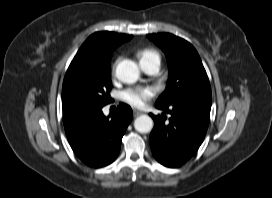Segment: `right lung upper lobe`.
I'll return each mask as SVG.
<instances>
[{"label":"right lung upper lobe","instance_id":"cb5924a9","mask_svg":"<svg viewBox=\"0 0 272 198\" xmlns=\"http://www.w3.org/2000/svg\"><path fill=\"white\" fill-rule=\"evenodd\" d=\"M131 38L132 35L107 31L96 32L87 38L72 60L63 81V116L79 109L74 97L76 83L99 66L109 63L115 48Z\"/></svg>","mask_w":272,"mask_h":198}]
</instances>
